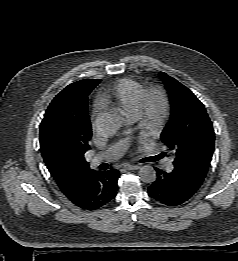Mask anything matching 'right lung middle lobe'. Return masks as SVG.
<instances>
[{"label": "right lung middle lobe", "mask_w": 238, "mask_h": 261, "mask_svg": "<svg viewBox=\"0 0 238 261\" xmlns=\"http://www.w3.org/2000/svg\"><path fill=\"white\" fill-rule=\"evenodd\" d=\"M80 100L78 91L68 85L50 103L40 125L41 153L46 164L61 162L67 151L60 145L53 129L56 120L73 117L74 107Z\"/></svg>", "instance_id": "right-lung-middle-lobe-1"}]
</instances>
